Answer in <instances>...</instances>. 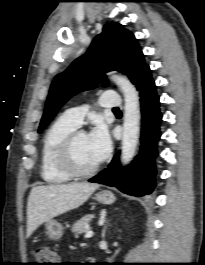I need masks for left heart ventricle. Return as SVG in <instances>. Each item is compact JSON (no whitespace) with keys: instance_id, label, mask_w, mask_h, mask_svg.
Here are the masks:
<instances>
[{"instance_id":"left-heart-ventricle-1","label":"left heart ventricle","mask_w":205,"mask_h":265,"mask_svg":"<svg viewBox=\"0 0 205 265\" xmlns=\"http://www.w3.org/2000/svg\"><path fill=\"white\" fill-rule=\"evenodd\" d=\"M73 157L76 166L80 169H89L98 163L90 148L88 135H81L77 138L73 148Z\"/></svg>"}]
</instances>
